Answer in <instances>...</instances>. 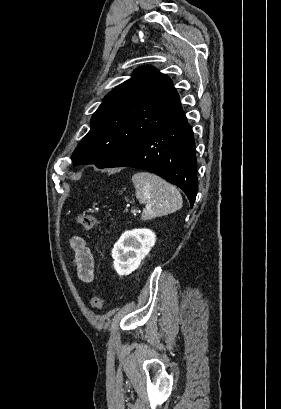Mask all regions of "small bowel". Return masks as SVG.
<instances>
[{
  "label": "small bowel",
  "instance_id": "1",
  "mask_svg": "<svg viewBox=\"0 0 281 409\" xmlns=\"http://www.w3.org/2000/svg\"><path fill=\"white\" fill-rule=\"evenodd\" d=\"M70 244L73 251L72 265L78 278L84 283L92 282L95 274V260L86 240L80 236H73Z\"/></svg>",
  "mask_w": 281,
  "mask_h": 409
}]
</instances>
